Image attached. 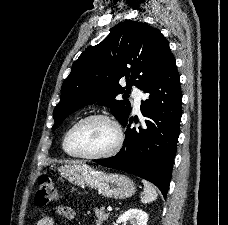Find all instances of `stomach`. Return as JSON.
Here are the masks:
<instances>
[{"instance_id": "obj_1", "label": "stomach", "mask_w": 228, "mask_h": 225, "mask_svg": "<svg viewBox=\"0 0 228 225\" xmlns=\"http://www.w3.org/2000/svg\"><path fill=\"white\" fill-rule=\"evenodd\" d=\"M60 175L68 177L74 185L78 187H90L96 189L99 195L110 197V199H129L136 191V187L125 175H116V173H105V171H96L83 161L73 163L65 167V171L59 169Z\"/></svg>"}]
</instances>
